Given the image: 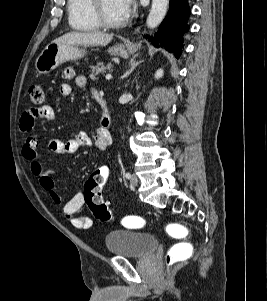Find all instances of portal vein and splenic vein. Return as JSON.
<instances>
[{
	"label": "portal vein and splenic vein",
	"mask_w": 267,
	"mask_h": 301,
	"mask_svg": "<svg viewBox=\"0 0 267 301\" xmlns=\"http://www.w3.org/2000/svg\"><path fill=\"white\" fill-rule=\"evenodd\" d=\"M106 80H110L112 78V75L110 73L106 74L105 76Z\"/></svg>",
	"instance_id": "18ae733b"
}]
</instances>
